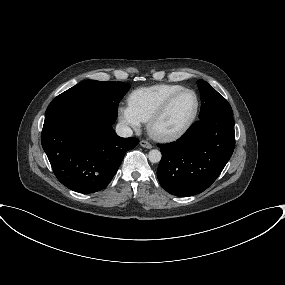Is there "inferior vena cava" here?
<instances>
[{
	"label": "inferior vena cava",
	"mask_w": 285,
	"mask_h": 285,
	"mask_svg": "<svg viewBox=\"0 0 285 285\" xmlns=\"http://www.w3.org/2000/svg\"><path fill=\"white\" fill-rule=\"evenodd\" d=\"M115 131L120 137H131L133 135L132 129L121 123L116 125Z\"/></svg>",
	"instance_id": "inferior-vena-cava-1"
}]
</instances>
